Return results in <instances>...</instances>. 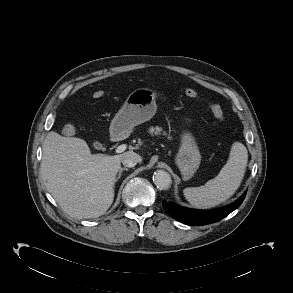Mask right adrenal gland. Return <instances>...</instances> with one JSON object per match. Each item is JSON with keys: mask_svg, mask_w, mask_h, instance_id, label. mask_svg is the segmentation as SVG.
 I'll return each instance as SVG.
<instances>
[{"mask_svg": "<svg viewBox=\"0 0 293 293\" xmlns=\"http://www.w3.org/2000/svg\"><path fill=\"white\" fill-rule=\"evenodd\" d=\"M124 170H128L127 168H121L120 171H119V174H118V177L116 178V181L121 177V174Z\"/></svg>", "mask_w": 293, "mask_h": 293, "instance_id": "right-adrenal-gland-1", "label": "right adrenal gland"}]
</instances>
